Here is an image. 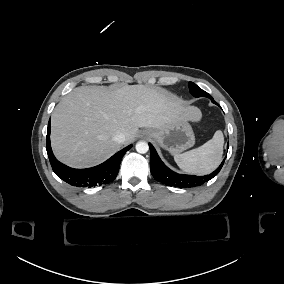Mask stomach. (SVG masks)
Listing matches in <instances>:
<instances>
[{"mask_svg": "<svg viewBox=\"0 0 284 284\" xmlns=\"http://www.w3.org/2000/svg\"><path fill=\"white\" fill-rule=\"evenodd\" d=\"M145 138H152L171 154H180L195 144V136L188 120L181 119L165 128L142 131Z\"/></svg>", "mask_w": 284, "mask_h": 284, "instance_id": "0dacf381", "label": "stomach"}]
</instances>
